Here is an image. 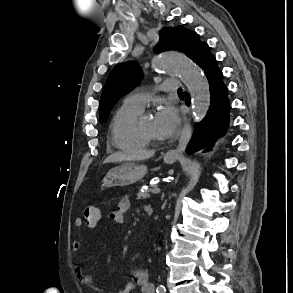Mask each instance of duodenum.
I'll list each match as a JSON object with an SVG mask.
<instances>
[{
    "label": "duodenum",
    "mask_w": 293,
    "mask_h": 293,
    "mask_svg": "<svg viewBox=\"0 0 293 293\" xmlns=\"http://www.w3.org/2000/svg\"><path fill=\"white\" fill-rule=\"evenodd\" d=\"M145 212L147 215H152L153 214V208L151 206H146L145 207Z\"/></svg>",
    "instance_id": "duodenum-1"
}]
</instances>
